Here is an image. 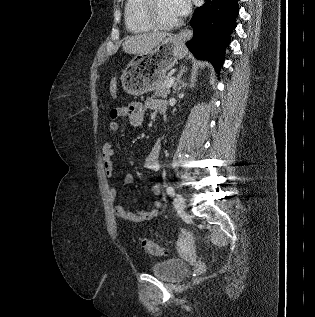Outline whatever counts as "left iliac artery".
<instances>
[{
  "instance_id": "obj_1",
  "label": "left iliac artery",
  "mask_w": 315,
  "mask_h": 317,
  "mask_svg": "<svg viewBox=\"0 0 315 317\" xmlns=\"http://www.w3.org/2000/svg\"><path fill=\"white\" fill-rule=\"evenodd\" d=\"M167 193L170 196H174L175 192H174V188L172 186L167 187Z\"/></svg>"
}]
</instances>
